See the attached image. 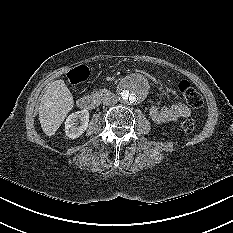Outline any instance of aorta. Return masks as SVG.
Returning <instances> with one entry per match:
<instances>
[{"mask_svg": "<svg viewBox=\"0 0 233 233\" xmlns=\"http://www.w3.org/2000/svg\"><path fill=\"white\" fill-rule=\"evenodd\" d=\"M147 93L145 80L140 76L125 79L119 87V96L124 104H136L144 99Z\"/></svg>", "mask_w": 233, "mask_h": 233, "instance_id": "obj_1", "label": "aorta"}]
</instances>
